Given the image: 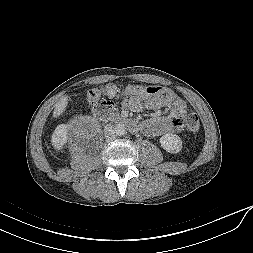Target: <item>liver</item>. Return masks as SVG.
<instances>
[{
    "mask_svg": "<svg viewBox=\"0 0 253 253\" xmlns=\"http://www.w3.org/2000/svg\"><path fill=\"white\" fill-rule=\"evenodd\" d=\"M68 105V96H63L60 100L56 103L55 109L53 111V117L57 118L60 116L66 109Z\"/></svg>",
    "mask_w": 253,
    "mask_h": 253,
    "instance_id": "liver-1",
    "label": "liver"
}]
</instances>
